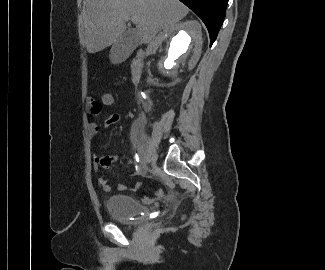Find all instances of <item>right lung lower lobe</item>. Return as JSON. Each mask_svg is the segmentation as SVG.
<instances>
[{
	"instance_id": "98d812e1",
	"label": "right lung lower lobe",
	"mask_w": 325,
	"mask_h": 270,
	"mask_svg": "<svg viewBox=\"0 0 325 270\" xmlns=\"http://www.w3.org/2000/svg\"><path fill=\"white\" fill-rule=\"evenodd\" d=\"M188 6L206 25L210 35V46L215 41L225 19L228 0H180Z\"/></svg>"
}]
</instances>
